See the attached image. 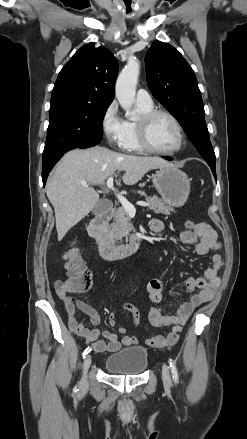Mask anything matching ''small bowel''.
<instances>
[{"instance_id": "small-bowel-1", "label": "small bowel", "mask_w": 247, "mask_h": 439, "mask_svg": "<svg viewBox=\"0 0 247 439\" xmlns=\"http://www.w3.org/2000/svg\"><path fill=\"white\" fill-rule=\"evenodd\" d=\"M149 227L152 232L159 233L164 230V223L159 219H153L150 221ZM179 240L183 246H194V251L199 256H207L211 251L220 248L216 232L206 223H198L192 231H182L179 235ZM211 259L212 264L205 270L204 278L190 277L187 279V291H198L191 295L188 301L179 306L176 314H168L162 307H155L150 311L149 318L152 325L156 327L172 326V331L167 336H155L148 339L145 343L147 346L163 348L174 345L192 312L212 299L220 284L219 272L223 266V260L219 253H214ZM54 287L67 312L70 330L87 344H90L94 352L98 354L113 353L120 350L123 346H131L138 343L137 338L126 335V329L118 325L116 321V316L119 312L128 311L133 315L134 327H138L140 315L134 305H122L108 315L109 326L115 327L117 332L123 335L119 339L114 332L96 328L88 329L78 321L76 317L77 309L89 317L93 326L100 324L101 317L91 305L69 295V292L73 291L70 279L56 281ZM147 292L153 303L161 304L164 302L163 283L160 279H151L147 284ZM101 337L105 340L101 339Z\"/></svg>"}]
</instances>
